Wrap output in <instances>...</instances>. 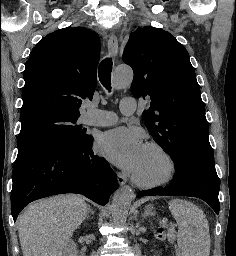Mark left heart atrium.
Instances as JSON below:
<instances>
[{
  "mask_svg": "<svg viewBox=\"0 0 236 256\" xmlns=\"http://www.w3.org/2000/svg\"><path fill=\"white\" fill-rule=\"evenodd\" d=\"M145 144L136 128H116L99 140V150L115 166L134 172L139 164Z\"/></svg>",
  "mask_w": 236,
  "mask_h": 256,
  "instance_id": "obj_1",
  "label": "left heart atrium"
}]
</instances>
